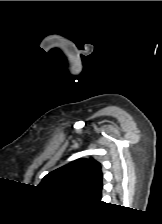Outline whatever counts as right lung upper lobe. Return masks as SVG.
<instances>
[{
  "instance_id": "cb5924a9",
  "label": "right lung upper lobe",
  "mask_w": 162,
  "mask_h": 224,
  "mask_svg": "<svg viewBox=\"0 0 162 224\" xmlns=\"http://www.w3.org/2000/svg\"><path fill=\"white\" fill-rule=\"evenodd\" d=\"M100 164L94 159H78L47 174L40 187L48 191L99 202L102 190Z\"/></svg>"
}]
</instances>
